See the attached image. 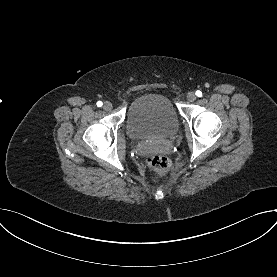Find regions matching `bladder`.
Wrapping results in <instances>:
<instances>
[{"mask_svg":"<svg viewBox=\"0 0 277 277\" xmlns=\"http://www.w3.org/2000/svg\"><path fill=\"white\" fill-rule=\"evenodd\" d=\"M127 132L136 140L172 137L178 132L179 118L171 101L161 94L136 98L127 111Z\"/></svg>","mask_w":277,"mask_h":277,"instance_id":"1","label":"bladder"}]
</instances>
